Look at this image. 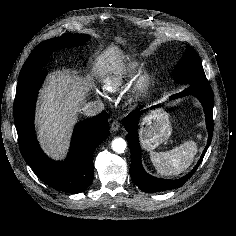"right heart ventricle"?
Masks as SVG:
<instances>
[{
  "instance_id": "e07e8e85",
  "label": "right heart ventricle",
  "mask_w": 236,
  "mask_h": 236,
  "mask_svg": "<svg viewBox=\"0 0 236 236\" xmlns=\"http://www.w3.org/2000/svg\"><path fill=\"white\" fill-rule=\"evenodd\" d=\"M138 68L137 63L128 64L117 70L116 73L106 77L103 81V89L107 92L116 93L120 91L127 77L133 74Z\"/></svg>"
}]
</instances>
